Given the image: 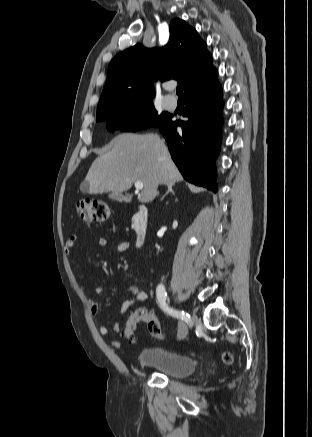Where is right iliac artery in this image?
I'll use <instances>...</instances> for the list:
<instances>
[{
	"label": "right iliac artery",
	"instance_id": "right-iliac-artery-1",
	"mask_svg": "<svg viewBox=\"0 0 312 437\" xmlns=\"http://www.w3.org/2000/svg\"><path fill=\"white\" fill-rule=\"evenodd\" d=\"M156 296H157L159 306L164 312H166L167 314H169L175 318L184 320L187 324H191L190 315L185 314L183 311H177V310L168 306V304L166 303L167 293H166L165 288L162 284H159L157 286Z\"/></svg>",
	"mask_w": 312,
	"mask_h": 437
}]
</instances>
